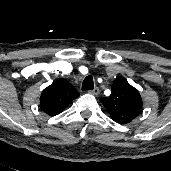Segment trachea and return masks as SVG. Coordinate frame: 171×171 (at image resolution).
<instances>
[{
    "instance_id": "1",
    "label": "trachea",
    "mask_w": 171,
    "mask_h": 171,
    "mask_svg": "<svg viewBox=\"0 0 171 171\" xmlns=\"http://www.w3.org/2000/svg\"><path fill=\"white\" fill-rule=\"evenodd\" d=\"M94 88V82L93 77L91 75H88L85 77L83 84H82V90H92Z\"/></svg>"
}]
</instances>
